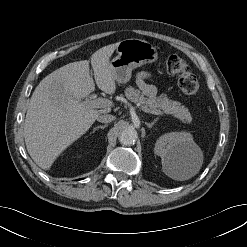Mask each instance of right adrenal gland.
Returning a JSON list of instances; mask_svg holds the SVG:
<instances>
[{"label":"right adrenal gland","instance_id":"right-adrenal-gland-1","mask_svg":"<svg viewBox=\"0 0 247 247\" xmlns=\"http://www.w3.org/2000/svg\"><path fill=\"white\" fill-rule=\"evenodd\" d=\"M107 127V125L105 124V125H99V126H97V127H95L94 129H93V131H92V133H94L96 130H98V129H104V128H106Z\"/></svg>","mask_w":247,"mask_h":247}]
</instances>
